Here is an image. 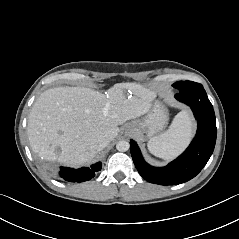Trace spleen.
<instances>
[{
  "label": "spleen",
  "mask_w": 239,
  "mask_h": 239,
  "mask_svg": "<svg viewBox=\"0 0 239 239\" xmlns=\"http://www.w3.org/2000/svg\"><path fill=\"white\" fill-rule=\"evenodd\" d=\"M194 132V124L188 110L179 112L169 129L151 138L147 144L151 154L164 160L178 156L190 142Z\"/></svg>",
  "instance_id": "1"
}]
</instances>
